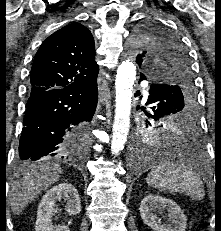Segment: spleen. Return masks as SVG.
<instances>
[{
  "mask_svg": "<svg viewBox=\"0 0 221 231\" xmlns=\"http://www.w3.org/2000/svg\"><path fill=\"white\" fill-rule=\"evenodd\" d=\"M146 181L160 192L182 193L194 200L204 197V186L199 174L181 161L160 162L148 174Z\"/></svg>",
  "mask_w": 221,
  "mask_h": 231,
  "instance_id": "3e777b00",
  "label": "spleen"
}]
</instances>
